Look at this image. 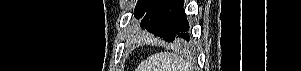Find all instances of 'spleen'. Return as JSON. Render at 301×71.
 <instances>
[{"label": "spleen", "mask_w": 301, "mask_h": 71, "mask_svg": "<svg viewBox=\"0 0 301 71\" xmlns=\"http://www.w3.org/2000/svg\"><path fill=\"white\" fill-rule=\"evenodd\" d=\"M189 63L183 57L171 53H157L145 60L138 71H189Z\"/></svg>", "instance_id": "obj_1"}]
</instances>
